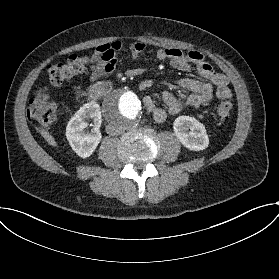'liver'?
Returning a JSON list of instances; mask_svg holds the SVG:
<instances>
[{"label":"liver","mask_w":279,"mask_h":279,"mask_svg":"<svg viewBox=\"0 0 279 279\" xmlns=\"http://www.w3.org/2000/svg\"><path fill=\"white\" fill-rule=\"evenodd\" d=\"M39 132H40L41 136L45 139V141L49 145H51L54 148H58L59 147V145L56 142L54 136L50 132L44 130L43 128H39Z\"/></svg>","instance_id":"1"}]
</instances>
